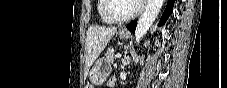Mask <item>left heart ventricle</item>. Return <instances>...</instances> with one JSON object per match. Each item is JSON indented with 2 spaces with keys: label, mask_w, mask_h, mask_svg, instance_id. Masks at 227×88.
I'll return each instance as SVG.
<instances>
[{
  "label": "left heart ventricle",
  "mask_w": 227,
  "mask_h": 88,
  "mask_svg": "<svg viewBox=\"0 0 227 88\" xmlns=\"http://www.w3.org/2000/svg\"><path fill=\"white\" fill-rule=\"evenodd\" d=\"M137 7L134 0H112L111 13L115 17H126L130 15Z\"/></svg>",
  "instance_id": "obj_1"
}]
</instances>
